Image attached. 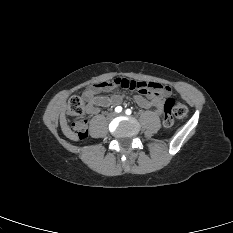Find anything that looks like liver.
Segmentation results:
<instances>
[{
  "instance_id": "6515ba94",
  "label": "liver",
  "mask_w": 233,
  "mask_h": 233,
  "mask_svg": "<svg viewBox=\"0 0 233 233\" xmlns=\"http://www.w3.org/2000/svg\"><path fill=\"white\" fill-rule=\"evenodd\" d=\"M65 108H66V102L63 101L60 106V126L64 134H67L69 131V127L67 125V120L65 117Z\"/></svg>"
}]
</instances>
